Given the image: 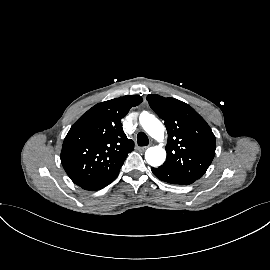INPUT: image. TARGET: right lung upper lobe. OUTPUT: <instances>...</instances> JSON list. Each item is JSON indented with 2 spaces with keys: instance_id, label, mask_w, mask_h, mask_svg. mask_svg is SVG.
Instances as JSON below:
<instances>
[{
  "instance_id": "cb5924a9",
  "label": "right lung upper lobe",
  "mask_w": 270,
  "mask_h": 270,
  "mask_svg": "<svg viewBox=\"0 0 270 270\" xmlns=\"http://www.w3.org/2000/svg\"><path fill=\"white\" fill-rule=\"evenodd\" d=\"M142 102L139 95L96 104L70 128L64 139L61 163L78 186L119 172L134 142L123 132L121 119Z\"/></svg>"
}]
</instances>
